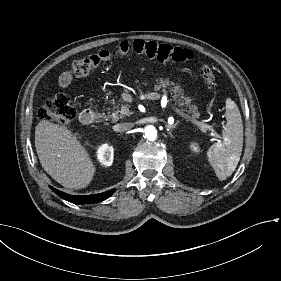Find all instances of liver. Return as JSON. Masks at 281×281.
Instances as JSON below:
<instances>
[{"mask_svg":"<svg viewBox=\"0 0 281 281\" xmlns=\"http://www.w3.org/2000/svg\"><path fill=\"white\" fill-rule=\"evenodd\" d=\"M34 142L42 168L63 187L79 190L92 183L96 165L71 128L41 120Z\"/></svg>","mask_w":281,"mask_h":281,"instance_id":"liver-1","label":"liver"}]
</instances>
